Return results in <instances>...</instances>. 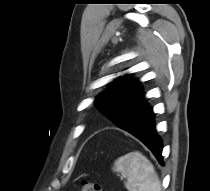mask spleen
Returning a JSON list of instances; mask_svg holds the SVG:
<instances>
[{
    "label": "spleen",
    "instance_id": "spleen-1",
    "mask_svg": "<svg viewBox=\"0 0 210 191\" xmlns=\"http://www.w3.org/2000/svg\"><path fill=\"white\" fill-rule=\"evenodd\" d=\"M114 171L127 178L129 191H161V184L151 162L140 152H130L114 163Z\"/></svg>",
    "mask_w": 210,
    "mask_h": 191
}]
</instances>
